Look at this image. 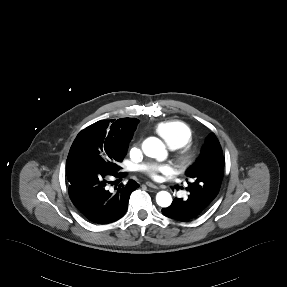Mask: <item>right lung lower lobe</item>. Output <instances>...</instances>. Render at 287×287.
Wrapping results in <instances>:
<instances>
[{
	"label": "right lung lower lobe",
	"instance_id": "1",
	"mask_svg": "<svg viewBox=\"0 0 287 287\" xmlns=\"http://www.w3.org/2000/svg\"><path fill=\"white\" fill-rule=\"evenodd\" d=\"M69 196L83 217L97 224H108L120 219L126 212L131 193L139 187L134 180L120 184L114 192L107 190L109 176L125 174L111 171L90 162L66 167Z\"/></svg>",
	"mask_w": 287,
	"mask_h": 287
}]
</instances>
